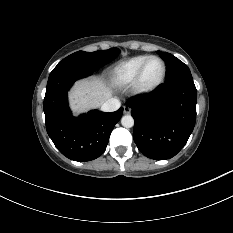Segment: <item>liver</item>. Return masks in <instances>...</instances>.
Wrapping results in <instances>:
<instances>
[{
  "mask_svg": "<svg viewBox=\"0 0 233 233\" xmlns=\"http://www.w3.org/2000/svg\"><path fill=\"white\" fill-rule=\"evenodd\" d=\"M112 95V90L99 78L76 82L69 93L70 107L77 115L99 108Z\"/></svg>",
  "mask_w": 233,
  "mask_h": 233,
  "instance_id": "liver-1",
  "label": "liver"
}]
</instances>
